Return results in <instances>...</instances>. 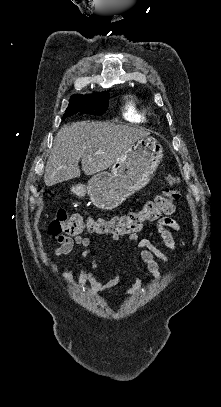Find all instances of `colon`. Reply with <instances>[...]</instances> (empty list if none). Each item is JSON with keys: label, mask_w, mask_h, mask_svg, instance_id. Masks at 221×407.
I'll return each instance as SVG.
<instances>
[{"label": "colon", "mask_w": 221, "mask_h": 407, "mask_svg": "<svg viewBox=\"0 0 221 407\" xmlns=\"http://www.w3.org/2000/svg\"><path fill=\"white\" fill-rule=\"evenodd\" d=\"M168 186L162 195L155 197L139 211H132L112 218H87L81 214L68 216L64 211L57 213L54 220L48 226V232L52 236H79L85 231L92 234H110L123 236L140 232L144 225L154 222L171 214L175 204L180 198L178 190L179 180L169 176Z\"/></svg>", "instance_id": "colon-1"}]
</instances>
